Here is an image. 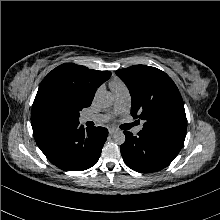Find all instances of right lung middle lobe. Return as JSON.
Segmentation results:
<instances>
[{"mask_svg":"<svg viewBox=\"0 0 220 220\" xmlns=\"http://www.w3.org/2000/svg\"><path fill=\"white\" fill-rule=\"evenodd\" d=\"M81 110H82V108H80L76 105H73V111H74V114H75L76 118L79 117V111H81Z\"/></svg>","mask_w":220,"mask_h":220,"instance_id":"1","label":"right lung middle lobe"}]
</instances>
